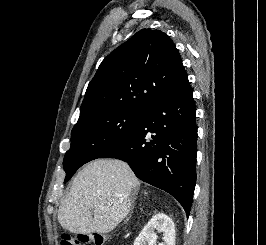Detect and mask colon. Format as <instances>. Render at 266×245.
<instances>
[{"instance_id": "obj_1", "label": "colon", "mask_w": 266, "mask_h": 245, "mask_svg": "<svg viewBox=\"0 0 266 245\" xmlns=\"http://www.w3.org/2000/svg\"><path fill=\"white\" fill-rule=\"evenodd\" d=\"M104 237L101 234L87 236L79 234L75 237L63 233L59 240V245H102Z\"/></svg>"}]
</instances>
